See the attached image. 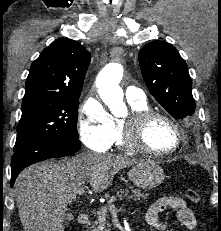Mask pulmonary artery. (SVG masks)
<instances>
[{"instance_id":"obj_1","label":"pulmonary artery","mask_w":221,"mask_h":231,"mask_svg":"<svg viewBox=\"0 0 221 231\" xmlns=\"http://www.w3.org/2000/svg\"><path fill=\"white\" fill-rule=\"evenodd\" d=\"M126 98L129 102H144L146 101V96L143 91L133 85L127 86L125 89Z\"/></svg>"}]
</instances>
